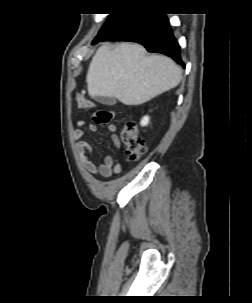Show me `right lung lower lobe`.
<instances>
[{"label": "right lung lower lobe", "instance_id": "1", "mask_svg": "<svg viewBox=\"0 0 252 303\" xmlns=\"http://www.w3.org/2000/svg\"><path fill=\"white\" fill-rule=\"evenodd\" d=\"M106 40L140 43L149 52L167 55L185 67L181 61L180 46L173 36L165 14H123L107 33L95 39L93 43Z\"/></svg>", "mask_w": 252, "mask_h": 303}]
</instances>
